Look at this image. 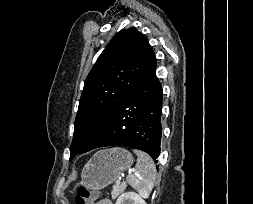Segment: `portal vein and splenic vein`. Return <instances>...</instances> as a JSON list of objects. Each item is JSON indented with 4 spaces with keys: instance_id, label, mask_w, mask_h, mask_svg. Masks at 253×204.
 <instances>
[{
    "instance_id": "18ae733b",
    "label": "portal vein and splenic vein",
    "mask_w": 253,
    "mask_h": 204,
    "mask_svg": "<svg viewBox=\"0 0 253 204\" xmlns=\"http://www.w3.org/2000/svg\"><path fill=\"white\" fill-rule=\"evenodd\" d=\"M132 171H133V170L130 169V170H129V173H131ZM119 184H120V180H117V181H116V185H119Z\"/></svg>"
}]
</instances>
